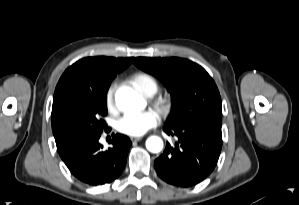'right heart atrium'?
Returning <instances> with one entry per match:
<instances>
[{"label": "right heart atrium", "instance_id": "obj_1", "mask_svg": "<svg viewBox=\"0 0 299 205\" xmlns=\"http://www.w3.org/2000/svg\"><path fill=\"white\" fill-rule=\"evenodd\" d=\"M114 93L115 85L112 84L108 87L105 93V105L109 111H113L115 109Z\"/></svg>", "mask_w": 299, "mask_h": 205}]
</instances>
